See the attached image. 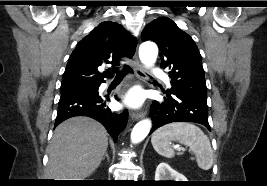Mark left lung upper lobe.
<instances>
[{
	"label": "left lung upper lobe",
	"instance_id": "left-lung-upper-lobe-1",
	"mask_svg": "<svg viewBox=\"0 0 267 186\" xmlns=\"http://www.w3.org/2000/svg\"><path fill=\"white\" fill-rule=\"evenodd\" d=\"M141 38L159 46L161 67L170 69V90L207 98L201 54L192 38L174 21L166 17L153 20L145 26Z\"/></svg>",
	"mask_w": 267,
	"mask_h": 186
}]
</instances>
